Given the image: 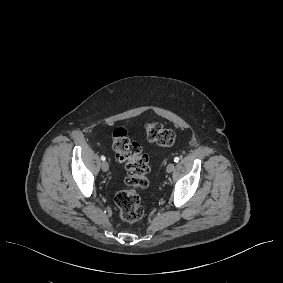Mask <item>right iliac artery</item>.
<instances>
[{"mask_svg":"<svg viewBox=\"0 0 283 283\" xmlns=\"http://www.w3.org/2000/svg\"><path fill=\"white\" fill-rule=\"evenodd\" d=\"M101 160L105 161L106 160L105 156H101Z\"/></svg>","mask_w":283,"mask_h":283,"instance_id":"82829eb1","label":"right iliac artery"}]
</instances>
